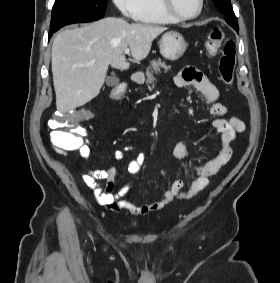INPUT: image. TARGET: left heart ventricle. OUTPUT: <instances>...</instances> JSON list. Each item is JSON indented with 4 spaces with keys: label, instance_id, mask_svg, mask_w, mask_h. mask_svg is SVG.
<instances>
[{
    "label": "left heart ventricle",
    "instance_id": "obj_1",
    "mask_svg": "<svg viewBox=\"0 0 280 283\" xmlns=\"http://www.w3.org/2000/svg\"><path fill=\"white\" fill-rule=\"evenodd\" d=\"M174 8L183 15H193L199 7V0H172Z\"/></svg>",
    "mask_w": 280,
    "mask_h": 283
}]
</instances>
